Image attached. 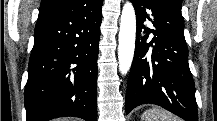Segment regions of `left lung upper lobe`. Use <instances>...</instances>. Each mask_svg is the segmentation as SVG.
<instances>
[{
	"mask_svg": "<svg viewBox=\"0 0 217 121\" xmlns=\"http://www.w3.org/2000/svg\"><path fill=\"white\" fill-rule=\"evenodd\" d=\"M168 1L181 11V6H182L181 0H168Z\"/></svg>",
	"mask_w": 217,
	"mask_h": 121,
	"instance_id": "left-lung-upper-lobe-1",
	"label": "left lung upper lobe"
}]
</instances>
